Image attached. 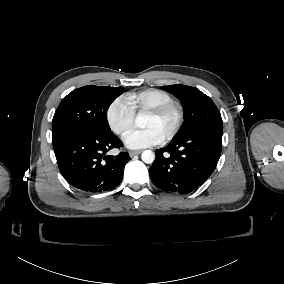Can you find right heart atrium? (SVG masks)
Returning a JSON list of instances; mask_svg holds the SVG:
<instances>
[{
	"mask_svg": "<svg viewBox=\"0 0 284 284\" xmlns=\"http://www.w3.org/2000/svg\"><path fill=\"white\" fill-rule=\"evenodd\" d=\"M134 117L135 111L124 96L113 99L105 112L108 128L118 136L123 135L132 126Z\"/></svg>",
	"mask_w": 284,
	"mask_h": 284,
	"instance_id": "right-heart-atrium-1",
	"label": "right heart atrium"
}]
</instances>
